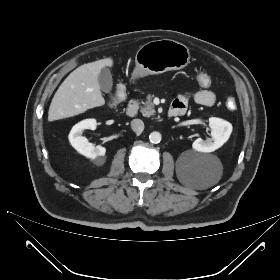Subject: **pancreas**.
<instances>
[{"mask_svg":"<svg viewBox=\"0 0 280 280\" xmlns=\"http://www.w3.org/2000/svg\"><path fill=\"white\" fill-rule=\"evenodd\" d=\"M153 98H154V95L149 94L146 97L145 102H142L143 106H141L140 111H141L143 116L150 117V116L155 115L156 111L154 109L155 106L152 102Z\"/></svg>","mask_w":280,"mask_h":280,"instance_id":"obj_1","label":"pancreas"}]
</instances>
